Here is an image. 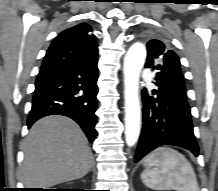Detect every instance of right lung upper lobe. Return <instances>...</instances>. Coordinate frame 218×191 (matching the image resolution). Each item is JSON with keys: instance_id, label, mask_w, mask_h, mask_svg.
<instances>
[{"instance_id": "cb5924a9", "label": "right lung upper lobe", "mask_w": 218, "mask_h": 191, "mask_svg": "<svg viewBox=\"0 0 218 191\" xmlns=\"http://www.w3.org/2000/svg\"><path fill=\"white\" fill-rule=\"evenodd\" d=\"M91 27L86 23L78 24L74 27L68 28L60 33L58 37H62L74 42L86 44L97 43L96 37L91 34Z\"/></svg>"}]
</instances>
